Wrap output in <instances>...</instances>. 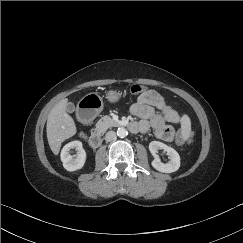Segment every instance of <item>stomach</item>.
<instances>
[{
	"instance_id": "stomach-1",
	"label": "stomach",
	"mask_w": 243,
	"mask_h": 243,
	"mask_svg": "<svg viewBox=\"0 0 243 243\" xmlns=\"http://www.w3.org/2000/svg\"><path fill=\"white\" fill-rule=\"evenodd\" d=\"M106 98L109 102L115 103L120 100L121 93L109 90ZM78 107L80 111H90L93 115H97L103 110V99L97 93H89L79 101Z\"/></svg>"
}]
</instances>
